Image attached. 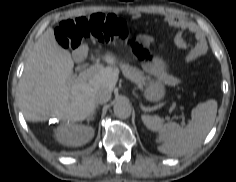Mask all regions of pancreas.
I'll return each instance as SVG.
<instances>
[{"mask_svg": "<svg viewBox=\"0 0 236 182\" xmlns=\"http://www.w3.org/2000/svg\"><path fill=\"white\" fill-rule=\"evenodd\" d=\"M122 72L127 79L133 81L138 85H145L149 80V78L146 77L141 70L134 67L123 65Z\"/></svg>", "mask_w": 236, "mask_h": 182, "instance_id": "obj_1", "label": "pancreas"}]
</instances>
